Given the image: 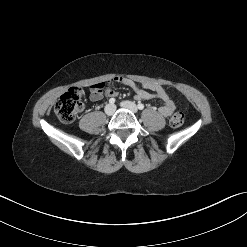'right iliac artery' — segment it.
<instances>
[{
  "mask_svg": "<svg viewBox=\"0 0 247 247\" xmlns=\"http://www.w3.org/2000/svg\"><path fill=\"white\" fill-rule=\"evenodd\" d=\"M115 101H116V100H115L114 98H110V99H109V103H110V104H114Z\"/></svg>",
  "mask_w": 247,
  "mask_h": 247,
  "instance_id": "right-iliac-artery-1",
  "label": "right iliac artery"
}]
</instances>
